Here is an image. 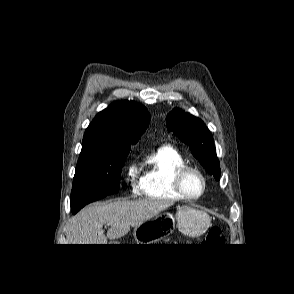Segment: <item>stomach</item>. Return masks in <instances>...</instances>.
I'll use <instances>...</instances> for the list:
<instances>
[{"label": "stomach", "instance_id": "0dacf381", "mask_svg": "<svg viewBox=\"0 0 294 294\" xmlns=\"http://www.w3.org/2000/svg\"><path fill=\"white\" fill-rule=\"evenodd\" d=\"M210 225L211 218L206 212L190 206H181L175 216L167 212L162 213L136 226L133 236L136 244H152L166 238L178 228L183 235L196 238L204 234Z\"/></svg>", "mask_w": 294, "mask_h": 294}]
</instances>
